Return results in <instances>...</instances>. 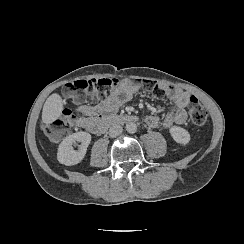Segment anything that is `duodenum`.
I'll list each match as a JSON object with an SVG mask.
<instances>
[{
	"label": "duodenum",
	"mask_w": 244,
	"mask_h": 244,
	"mask_svg": "<svg viewBox=\"0 0 244 244\" xmlns=\"http://www.w3.org/2000/svg\"><path fill=\"white\" fill-rule=\"evenodd\" d=\"M138 120L139 117L137 115L108 116L104 119L103 125L100 128V132H102L101 134H103L104 131L110 126L130 122H137Z\"/></svg>",
	"instance_id": "1"
}]
</instances>
